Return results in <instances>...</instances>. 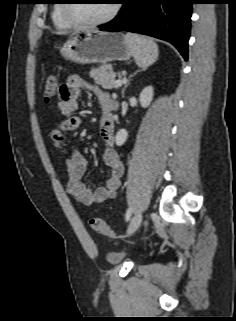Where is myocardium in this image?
<instances>
[{"label": "myocardium", "mask_w": 236, "mask_h": 321, "mask_svg": "<svg viewBox=\"0 0 236 321\" xmlns=\"http://www.w3.org/2000/svg\"><path fill=\"white\" fill-rule=\"evenodd\" d=\"M69 0H66L65 3H63L62 5V13L63 16L65 17V19L70 22L72 25L77 26V27H81V28H86V27H97V26H102L105 25L107 23H109L110 21H112L116 15L118 14L119 10H120V4L118 1H115L113 3V6L109 12V14L100 19V20H96V21H82V20H78L76 19L70 12V8H71V4L70 2H68Z\"/></svg>", "instance_id": "1"}]
</instances>
